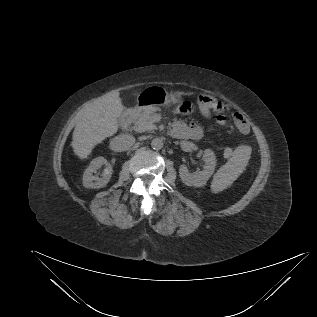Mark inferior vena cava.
Wrapping results in <instances>:
<instances>
[{
    "mask_svg": "<svg viewBox=\"0 0 317 317\" xmlns=\"http://www.w3.org/2000/svg\"><path fill=\"white\" fill-rule=\"evenodd\" d=\"M135 143L134 136L130 134H120L110 142V148L116 152L129 150Z\"/></svg>",
    "mask_w": 317,
    "mask_h": 317,
    "instance_id": "1",
    "label": "inferior vena cava"
}]
</instances>
